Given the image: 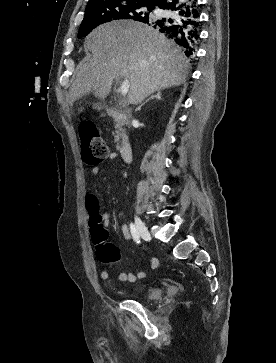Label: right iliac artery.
<instances>
[{
    "label": "right iliac artery",
    "instance_id": "82829eb1",
    "mask_svg": "<svg viewBox=\"0 0 276 363\" xmlns=\"http://www.w3.org/2000/svg\"><path fill=\"white\" fill-rule=\"evenodd\" d=\"M130 231H131V234H132V237H133V240L139 244L140 243V236H139V233L135 227L134 224H130Z\"/></svg>",
    "mask_w": 276,
    "mask_h": 363
}]
</instances>
